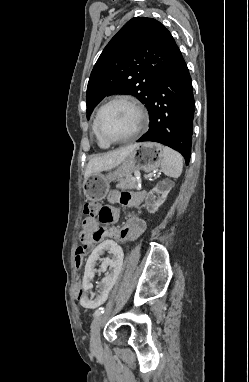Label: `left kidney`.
<instances>
[{"label": "left kidney", "instance_id": "1", "mask_svg": "<svg viewBox=\"0 0 249 382\" xmlns=\"http://www.w3.org/2000/svg\"><path fill=\"white\" fill-rule=\"evenodd\" d=\"M173 187L174 183L165 179L154 189H150L146 199L148 207L157 210ZM117 244L116 240H101L100 245H96V250H92L81 278L82 294L78 298L81 309L104 307V300L111 293V287L118 286L116 277L119 276L123 266L124 250L123 245ZM100 276H104L103 280H100ZM94 285L97 287L96 291Z\"/></svg>", "mask_w": 249, "mask_h": 382}]
</instances>
